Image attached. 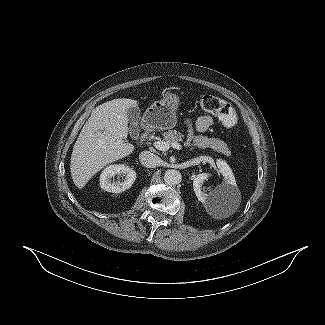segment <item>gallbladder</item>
<instances>
[{
  "label": "gallbladder",
  "mask_w": 325,
  "mask_h": 325,
  "mask_svg": "<svg viewBox=\"0 0 325 325\" xmlns=\"http://www.w3.org/2000/svg\"><path fill=\"white\" fill-rule=\"evenodd\" d=\"M128 121L131 124L130 134L132 137H137L140 133L139 121L141 119L140 110L138 107H131L127 112Z\"/></svg>",
  "instance_id": "obj_1"
}]
</instances>
